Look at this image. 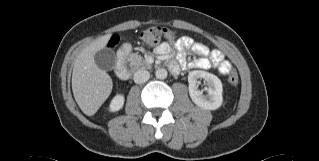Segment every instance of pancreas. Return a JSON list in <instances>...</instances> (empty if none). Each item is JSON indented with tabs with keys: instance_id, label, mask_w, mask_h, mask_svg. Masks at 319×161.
Masks as SVG:
<instances>
[{
	"instance_id": "pancreas-1",
	"label": "pancreas",
	"mask_w": 319,
	"mask_h": 161,
	"mask_svg": "<svg viewBox=\"0 0 319 161\" xmlns=\"http://www.w3.org/2000/svg\"><path fill=\"white\" fill-rule=\"evenodd\" d=\"M127 60L130 62L131 66L135 69L139 68H150L151 65L146 62V60L136 53L129 54Z\"/></svg>"
}]
</instances>
